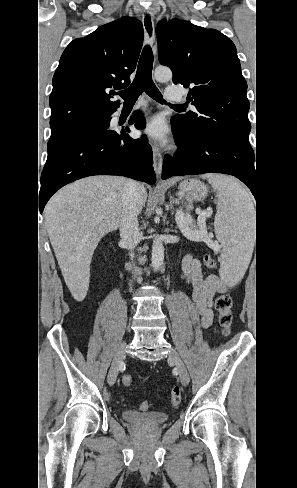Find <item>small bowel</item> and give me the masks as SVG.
<instances>
[{
	"mask_svg": "<svg viewBox=\"0 0 297 488\" xmlns=\"http://www.w3.org/2000/svg\"><path fill=\"white\" fill-rule=\"evenodd\" d=\"M185 284L192 289L194 311L200 318L202 327L208 328L213 321V302L217 294L228 295V285L215 274L204 276L200 261L186 255L182 261Z\"/></svg>",
	"mask_w": 297,
	"mask_h": 488,
	"instance_id": "c3829d8e",
	"label": "small bowel"
}]
</instances>
